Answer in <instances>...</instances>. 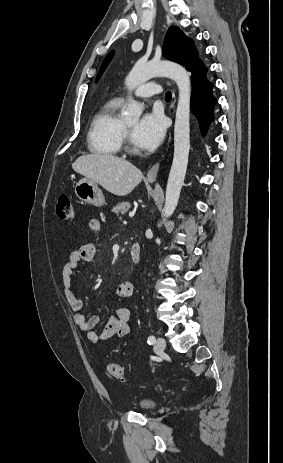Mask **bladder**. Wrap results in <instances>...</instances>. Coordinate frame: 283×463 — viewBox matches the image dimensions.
<instances>
[{"label": "bladder", "mask_w": 283, "mask_h": 463, "mask_svg": "<svg viewBox=\"0 0 283 463\" xmlns=\"http://www.w3.org/2000/svg\"><path fill=\"white\" fill-rule=\"evenodd\" d=\"M155 406V403L151 399H142L138 402V407L141 412H149Z\"/></svg>", "instance_id": "obj_1"}]
</instances>
